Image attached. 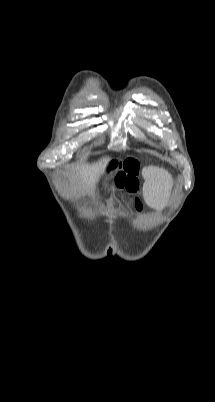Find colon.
Here are the masks:
<instances>
[{
  "instance_id": "colon-1",
  "label": "colon",
  "mask_w": 215,
  "mask_h": 402,
  "mask_svg": "<svg viewBox=\"0 0 215 402\" xmlns=\"http://www.w3.org/2000/svg\"><path fill=\"white\" fill-rule=\"evenodd\" d=\"M119 156H112L106 167L105 177H110L111 168H115L114 184L120 189H126L130 193H136L139 189L137 178L139 166L137 160L127 158L121 162ZM137 207L140 202L136 199Z\"/></svg>"
}]
</instances>
